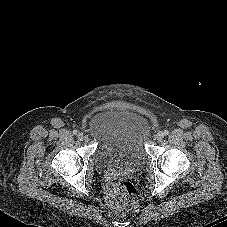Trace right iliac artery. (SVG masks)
Returning a JSON list of instances; mask_svg holds the SVG:
<instances>
[{
  "label": "right iliac artery",
  "mask_w": 227,
  "mask_h": 227,
  "mask_svg": "<svg viewBox=\"0 0 227 227\" xmlns=\"http://www.w3.org/2000/svg\"><path fill=\"white\" fill-rule=\"evenodd\" d=\"M77 133H78L77 130H74V131H73V134H74V135H76Z\"/></svg>",
  "instance_id": "obj_1"
}]
</instances>
